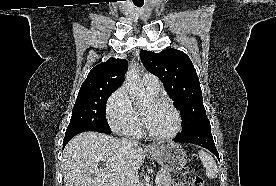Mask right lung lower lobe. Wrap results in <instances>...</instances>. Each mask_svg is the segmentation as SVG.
<instances>
[{"label":"right lung lower lobe","mask_w":276,"mask_h":186,"mask_svg":"<svg viewBox=\"0 0 276 186\" xmlns=\"http://www.w3.org/2000/svg\"><path fill=\"white\" fill-rule=\"evenodd\" d=\"M84 131H97L105 134H110L112 131L111 129H103V128H97V127H85V128H78L74 131L66 132L63 147L68 143V141L74 137L75 135L84 132Z\"/></svg>","instance_id":"right-lung-lower-lobe-1"}]
</instances>
